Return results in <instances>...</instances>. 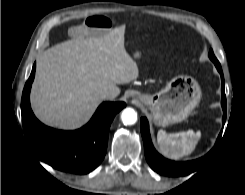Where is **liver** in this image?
I'll use <instances>...</instances> for the list:
<instances>
[{
	"label": "liver",
	"mask_w": 245,
	"mask_h": 195,
	"mask_svg": "<svg viewBox=\"0 0 245 195\" xmlns=\"http://www.w3.org/2000/svg\"><path fill=\"white\" fill-rule=\"evenodd\" d=\"M124 34L122 25L100 37L71 39L44 51L31 92L36 116L49 126L76 129L89 120L103 92L116 97L118 84L137 79L139 69L125 50Z\"/></svg>",
	"instance_id": "1"
}]
</instances>
